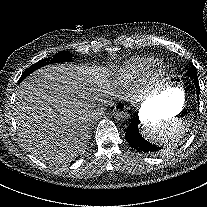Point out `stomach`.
<instances>
[{"mask_svg":"<svg viewBox=\"0 0 207 207\" xmlns=\"http://www.w3.org/2000/svg\"><path fill=\"white\" fill-rule=\"evenodd\" d=\"M184 90L178 78H171L158 94L148 98L139 110L142 124H154L178 115L184 105Z\"/></svg>","mask_w":207,"mask_h":207,"instance_id":"obj_1","label":"stomach"}]
</instances>
